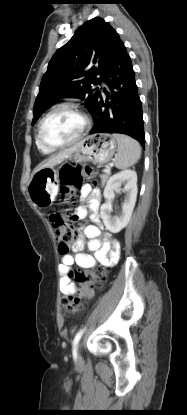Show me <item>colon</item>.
<instances>
[{
    "label": "colon",
    "mask_w": 187,
    "mask_h": 415,
    "mask_svg": "<svg viewBox=\"0 0 187 415\" xmlns=\"http://www.w3.org/2000/svg\"><path fill=\"white\" fill-rule=\"evenodd\" d=\"M94 181V170L91 167L67 166L60 171L61 193L64 198L75 196L81 189L84 181ZM49 220L55 230L61 254H66L75 241L76 231L72 224L75 216L66 218L59 212L49 215ZM107 268H93L89 270L77 269L73 278L79 285L78 294L62 300V307L67 315L75 314L82 310L84 302L90 300L94 290L103 286L106 280Z\"/></svg>",
    "instance_id": "1"
}]
</instances>
